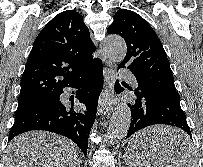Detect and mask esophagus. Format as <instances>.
Wrapping results in <instances>:
<instances>
[{"mask_svg": "<svg viewBox=\"0 0 203 167\" xmlns=\"http://www.w3.org/2000/svg\"><path fill=\"white\" fill-rule=\"evenodd\" d=\"M115 74L111 62L104 68V87L98 101V115H106L113 110Z\"/></svg>", "mask_w": 203, "mask_h": 167, "instance_id": "obj_1", "label": "esophagus"}]
</instances>
